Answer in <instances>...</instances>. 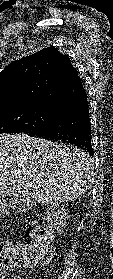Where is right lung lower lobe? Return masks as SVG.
I'll use <instances>...</instances> for the list:
<instances>
[{"label":"right lung lower lobe","instance_id":"98d812e1","mask_svg":"<svg viewBox=\"0 0 113 279\" xmlns=\"http://www.w3.org/2000/svg\"><path fill=\"white\" fill-rule=\"evenodd\" d=\"M27 134L71 144L93 155L86 91H83L77 102L65 108L62 116L55 122L39 127Z\"/></svg>","mask_w":113,"mask_h":279}]
</instances>
